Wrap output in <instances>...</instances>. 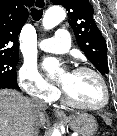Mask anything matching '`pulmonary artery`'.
I'll return each instance as SVG.
<instances>
[{
    "label": "pulmonary artery",
    "mask_w": 117,
    "mask_h": 136,
    "mask_svg": "<svg viewBox=\"0 0 117 136\" xmlns=\"http://www.w3.org/2000/svg\"><path fill=\"white\" fill-rule=\"evenodd\" d=\"M41 50L51 53H64L71 47L70 35L67 29L58 28L53 37L39 43Z\"/></svg>",
    "instance_id": "1"
}]
</instances>
